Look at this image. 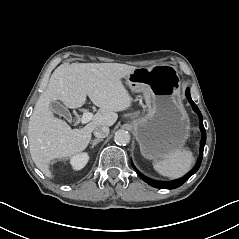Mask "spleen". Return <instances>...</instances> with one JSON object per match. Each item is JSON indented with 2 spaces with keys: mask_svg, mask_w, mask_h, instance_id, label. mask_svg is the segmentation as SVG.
Masks as SVG:
<instances>
[{
  "mask_svg": "<svg viewBox=\"0 0 239 239\" xmlns=\"http://www.w3.org/2000/svg\"><path fill=\"white\" fill-rule=\"evenodd\" d=\"M195 159L189 151L169 155L160 162H155L153 168L162 176L177 179L184 176L194 165Z\"/></svg>",
  "mask_w": 239,
  "mask_h": 239,
  "instance_id": "1",
  "label": "spleen"
}]
</instances>
